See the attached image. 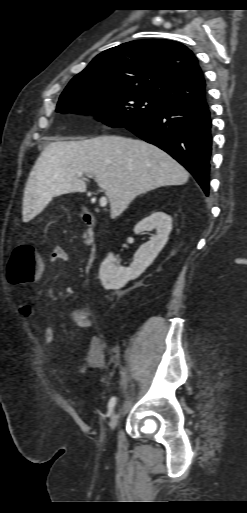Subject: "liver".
<instances>
[{
    "instance_id": "1",
    "label": "liver",
    "mask_w": 247,
    "mask_h": 513,
    "mask_svg": "<svg viewBox=\"0 0 247 513\" xmlns=\"http://www.w3.org/2000/svg\"><path fill=\"white\" fill-rule=\"evenodd\" d=\"M94 176L109 199L111 218L120 216L140 194L162 186L183 185L187 170L160 148L143 140L97 136L53 142L37 159L23 198V218L35 217L53 197L84 193L78 173Z\"/></svg>"
}]
</instances>
